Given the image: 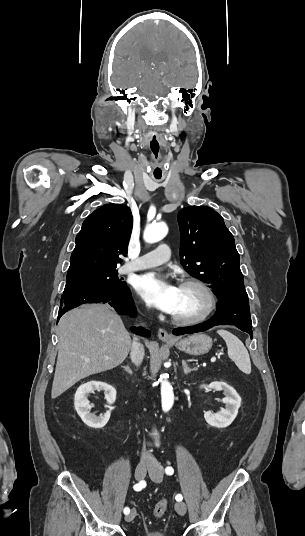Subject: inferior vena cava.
I'll list each match as a JSON object with an SVG mask.
<instances>
[{"mask_svg": "<svg viewBox=\"0 0 305 536\" xmlns=\"http://www.w3.org/2000/svg\"><path fill=\"white\" fill-rule=\"evenodd\" d=\"M130 358L132 360V362H134V364H136V366H139V364H141L143 358H144V348L142 346V344H138V342H136V340H134L132 346H131V354H130ZM152 456H150V454H148V452H142V456H141V460H143V462H149V460H151Z\"/></svg>", "mask_w": 305, "mask_h": 536, "instance_id": "obj_1", "label": "inferior vena cava"}]
</instances>
